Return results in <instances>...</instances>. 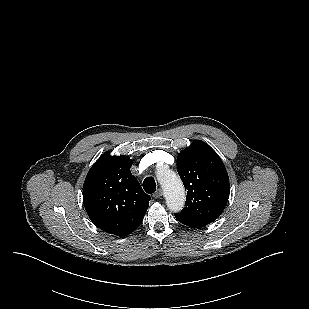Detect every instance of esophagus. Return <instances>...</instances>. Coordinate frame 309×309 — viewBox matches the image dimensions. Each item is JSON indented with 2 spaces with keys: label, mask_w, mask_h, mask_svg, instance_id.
I'll use <instances>...</instances> for the list:
<instances>
[{
  "label": "esophagus",
  "mask_w": 309,
  "mask_h": 309,
  "mask_svg": "<svg viewBox=\"0 0 309 309\" xmlns=\"http://www.w3.org/2000/svg\"><path fill=\"white\" fill-rule=\"evenodd\" d=\"M162 195H163V190L159 188L153 196L155 198H160Z\"/></svg>",
  "instance_id": "1"
}]
</instances>
